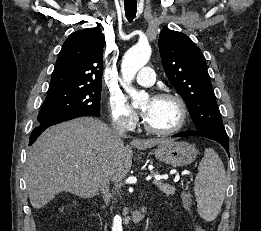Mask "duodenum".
I'll use <instances>...</instances> for the list:
<instances>
[{
    "label": "duodenum",
    "mask_w": 261,
    "mask_h": 231,
    "mask_svg": "<svg viewBox=\"0 0 261 231\" xmlns=\"http://www.w3.org/2000/svg\"><path fill=\"white\" fill-rule=\"evenodd\" d=\"M145 212H146V207L145 206H140L135 212H134V219L136 221H141L144 216H145Z\"/></svg>",
    "instance_id": "obj_1"
}]
</instances>
